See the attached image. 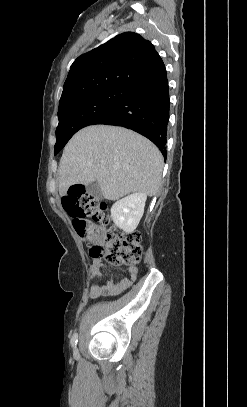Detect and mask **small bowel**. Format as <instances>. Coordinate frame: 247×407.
<instances>
[{
  "mask_svg": "<svg viewBox=\"0 0 247 407\" xmlns=\"http://www.w3.org/2000/svg\"><path fill=\"white\" fill-rule=\"evenodd\" d=\"M103 262L101 259H94L91 266L89 277L90 279L98 278L101 276V268ZM138 274L137 267H131L128 269V277L123 278L119 282L109 281L105 284H98L91 287L90 295L92 297H99L107 294H118L131 286Z\"/></svg>",
  "mask_w": 247,
  "mask_h": 407,
  "instance_id": "obj_1",
  "label": "small bowel"
}]
</instances>
